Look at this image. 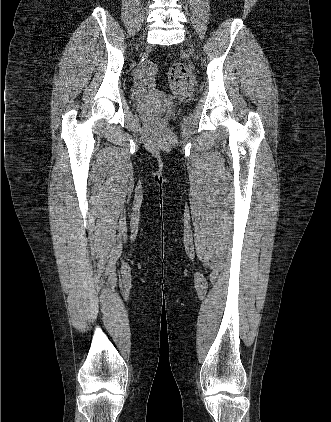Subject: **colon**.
<instances>
[{
    "label": "colon",
    "mask_w": 331,
    "mask_h": 422,
    "mask_svg": "<svg viewBox=\"0 0 331 422\" xmlns=\"http://www.w3.org/2000/svg\"><path fill=\"white\" fill-rule=\"evenodd\" d=\"M141 76L146 80H152L157 73L156 63L152 60L145 61L141 66ZM169 80L172 91L183 101H187L191 95V87L188 84V70L182 63H173L169 67Z\"/></svg>",
    "instance_id": "obj_1"
}]
</instances>
